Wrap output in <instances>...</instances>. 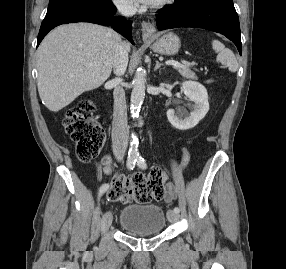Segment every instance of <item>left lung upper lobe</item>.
Here are the masks:
<instances>
[{"instance_id": "5c2ea615", "label": "left lung upper lobe", "mask_w": 286, "mask_h": 269, "mask_svg": "<svg viewBox=\"0 0 286 269\" xmlns=\"http://www.w3.org/2000/svg\"><path fill=\"white\" fill-rule=\"evenodd\" d=\"M189 1H192V0H175V2L178 3V4L187 3Z\"/></svg>"}]
</instances>
